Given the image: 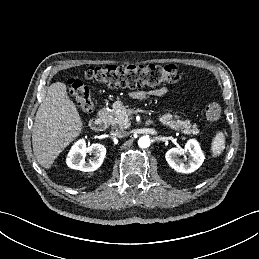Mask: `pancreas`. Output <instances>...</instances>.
Returning a JSON list of instances; mask_svg holds the SVG:
<instances>
[{"label":"pancreas","instance_id":"1","mask_svg":"<svg viewBox=\"0 0 259 259\" xmlns=\"http://www.w3.org/2000/svg\"><path fill=\"white\" fill-rule=\"evenodd\" d=\"M173 117H175L176 120H173ZM179 118L180 116L172 115L168 112L162 115L159 120L163 125L169 126L175 131H182V133L187 135H197L199 133V129L196 124H191L190 120H182ZM129 120L130 112L128 109L123 105L122 102H115L113 105L112 113H110L111 124L115 126L117 125L121 129H126L130 126Z\"/></svg>","mask_w":259,"mask_h":259}]
</instances>
